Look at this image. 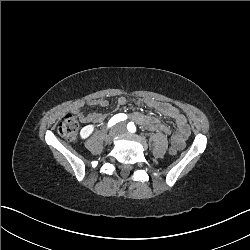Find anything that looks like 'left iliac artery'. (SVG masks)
Instances as JSON below:
<instances>
[{"label":"left iliac artery","instance_id":"1","mask_svg":"<svg viewBox=\"0 0 250 250\" xmlns=\"http://www.w3.org/2000/svg\"><path fill=\"white\" fill-rule=\"evenodd\" d=\"M127 129L131 133L136 132V126H135L134 122H129L127 125Z\"/></svg>","mask_w":250,"mask_h":250}]
</instances>
